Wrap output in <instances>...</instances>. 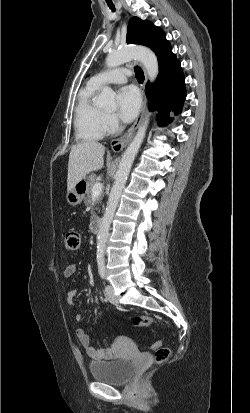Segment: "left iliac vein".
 Returning <instances> with one entry per match:
<instances>
[{
  "mask_svg": "<svg viewBox=\"0 0 250 413\" xmlns=\"http://www.w3.org/2000/svg\"><path fill=\"white\" fill-rule=\"evenodd\" d=\"M107 297L113 302L118 303L117 297L115 296L114 289L111 285H107L105 288Z\"/></svg>",
  "mask_w": 250,
  "mask_h": 413,
  "instance_id": "obj_1",
  "label": "left iliac vein"
}]
</instances>
